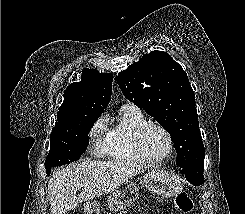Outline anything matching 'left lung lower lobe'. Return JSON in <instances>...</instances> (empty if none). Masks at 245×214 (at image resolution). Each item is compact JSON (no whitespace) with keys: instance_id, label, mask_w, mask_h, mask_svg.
<instances>
[{"instance_id":"obj_1","label":"left lung lower lobe","mask_w":245,"mask_h":214,"mask_svg":"<svg viewBox=\"0 0 245 214\" xmlns=\"http://www.w3.org/2000/svg\"><path fill=\"white\" fill-rule=\"evenodd\" d=\"M204 162L183 168L180 173L185 174L186 179L193 185H201L204 183Z\"/></svg>"}]
</instances>
